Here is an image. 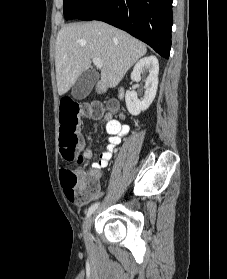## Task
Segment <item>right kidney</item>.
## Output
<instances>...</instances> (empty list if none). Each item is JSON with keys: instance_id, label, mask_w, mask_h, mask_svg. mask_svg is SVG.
<instances>
[{"instance_id": "ca27d5eb", "label": "right kidney", "mask_w": 227, "mask_h": 279, "mask_svg": "<svg viewBox=\"0 0 227 279\" xmlns=\"http://www.w3.org/2000/svg\"><path fill=\"white\" fill-rule=\"evenodd\" d=\"M149 71V74L145 80V95L144 99L141 101L137 97L135 91H127L125 95L126 106L130 114L137 116L141 111H145L152 104L157 88H158V72H159V63L158 59L153 56H147L140 59L134 66L131 73L132 81H140L141 73L144 71Z\"/></svg>"}]
</instances>
